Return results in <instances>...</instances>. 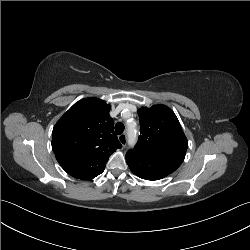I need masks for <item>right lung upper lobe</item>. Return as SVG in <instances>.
I'll list each match as a JSON object with an SVG mask.
<instances>
[{"instance_id": "cb5924a9", "label": "right lung upper lobe", "mask_w": 250, "mask_h": 250, "mask_svg": "<svg viewBox=\"0 0 250 250\" xmlns=\"http://www.w3.org/2000/svg\"><path fill=\"white\" fill-rule=\"evenodd\" d=\"M110 105L98 98L75 103L53 128L52 149L71 176L90 180L101 174L112 153L122 145L109 115Z\"/></svg>"}]
</instances>
